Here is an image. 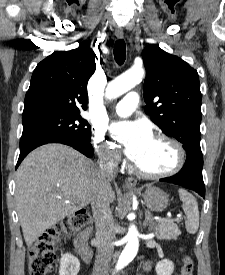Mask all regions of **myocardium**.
<instances>
[{
    "label": "myocardium",
    "instance_id": "myocardium-1",
    "mask_svg": "<svg viewBox=\"0 0 225 275\" xmlns=\"http://www.w3.org/2000/svg\"><path fill=\"white\" fill-rule=\"evenodd\" d=\"M155 139H159V140H163L165 142H167L174 150L175 153V161L174 164L171 168H169L168 170L162 171V172H156V173H150V172H145L143 170H141L136 163H134L133 165V169L134 172L142 177V178H146V179H160V178H166L169 176H172L176 173H178L184 163H185V151L183 146L181 145V143L179 141H177L176 139L164 134V133H157L154 135Z\"/></svg>",
    "mask_w": 225,
    "mask_h": 275
}]
</instances>
